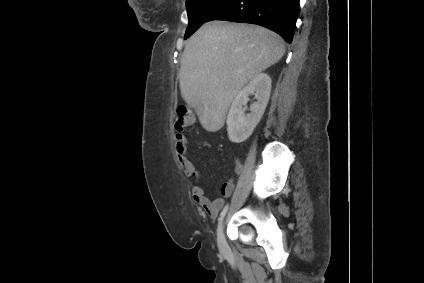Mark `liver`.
Instances as JSON below:
<instances>
[{
    "mask_svg": "<svg viewBox=\"0 0 424 283\" xmlns=\"http://www.w3.org/2000/svg\"><path fill=\"white\" fill-rule=\"evenodd\" d=\"M285 53L281 37L260 25L212 21L187 41L181 58L180 91L203 128L224 126L236 95Z\"/></svg>",
    "mask_w": 424,
    "mask_h": 283,
    "instance_id": "obj_1",
    "label": "liver"
}]
</instances>
